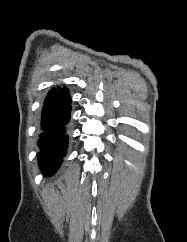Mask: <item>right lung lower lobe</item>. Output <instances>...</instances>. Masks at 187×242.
<instances>
[{"label": "right lung lower lobe", "mask_w": 187, "mask_h": 242, "mask_svg": "<svg viewBox=\"0 0 187 242\" xmlns=\"http://www.w3.org/2000/svg\"><path fill=\"white\" fill-rule=\"evenodd\" d=\"M70 112L71 99L68 90L65 87L51 89L44 101L38 140V162L45 175L54 173L66 155Z\"/></svg>", "instance_id": "98d812e1"}]
</instances>
